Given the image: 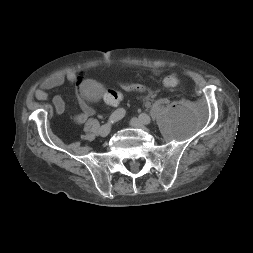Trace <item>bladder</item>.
I'll list each match as a JSON object with an SVG mask.
<instances>
[{
    "label": "bladder",
    "instance_id": "obj_1",
    "mask_svg": "<svg viewBox=\"0 0 253 253\" xmlns=\"http://www.w3.org/2000/svg\"><path fill=\"white\" fill-rule=\"evenodd\" d=\"M80 92L86 101L94 102L103 95V88L94 80H86L81 84Z\"/></svg>",
    "mask_w": 253,
    "mask_h": 253
}]
</instances>
